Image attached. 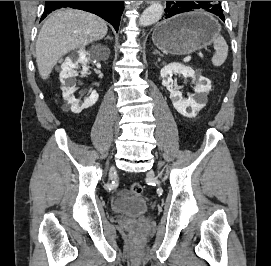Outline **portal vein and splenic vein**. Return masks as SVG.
<instances>
[{"mask_svg": "<svg viewBox=\"0 0 271 266\" xmlns=\"http://www.w3.org/2000/svg\"><path fill=\"white\" fill-rule=\"evenodd\" d=\"M191 58H192V56L189 55V56L185 57L183 61L184 62H189L191 60Z\"/></svg>", "mask_w": 271, "mask_h": 266, "instance_id": "portal-vein-and-splenic-vein-1", "label": "portal vein and splenic vein"}]
</instances>
